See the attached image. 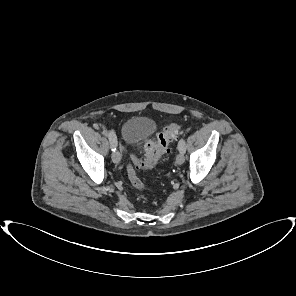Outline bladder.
<instances>
[{"label": "bladder", "instance_id": "obj_1", "mask_svg": "<svg viewBox=\"0 0 296 296\" xmlns=\"http://www.w3.org/2000/svg\"><path fill=\"white\" fill-rule=\"evenodd\" d=\"M156 129L154 121L146 116H132L122 125L121 134L128 145H135L147 139Z\"/></svg>", "mask_w": 296, "mask_h": 296}]
</instances>
